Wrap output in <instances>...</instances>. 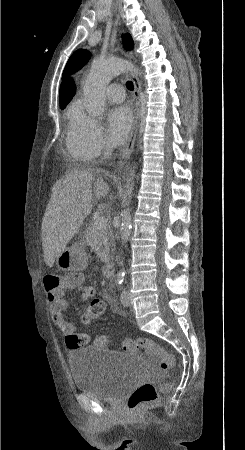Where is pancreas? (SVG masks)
<instances>
[{
	"label": "pancreas",
	"mask_w": 245,
	"mask_h": 450,
	"mask_svg": "<svg viewBox=\"0 0 245 450\" xmlns=\"http://www.w3.org/2000/svg\"><path fill=\"white\" fill-rule=\"evenodd\" d=\"M84 236L86 243L96 251L101 261L108 262L114 242L110 228L99 230L94 226V223H91Z\"/></svg>",
	"instance_id": "pancreas-1"
}]
</instances>
